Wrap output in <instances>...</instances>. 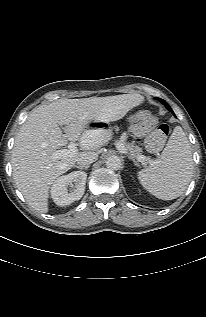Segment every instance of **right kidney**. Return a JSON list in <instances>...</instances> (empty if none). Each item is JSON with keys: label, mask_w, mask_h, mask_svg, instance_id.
<instances>
[{"label": "right kidney", "mask_w": 206, "mask_h": 317, "mask_svg": "<svg viewBox=\"0 0 206 317\" xmlns=\"http://www.w3.org/2000/svg\"><path fill=\"white\" fill-rule=\"evenodd\" d=\"M87 174L83 171H74L57 178L51 187V197L59 205H70L81 199L85 191ZM74 188L72 191L68 187Z\"/></svg>", "instance_id": "ca27d5eb"}]
</instances>
